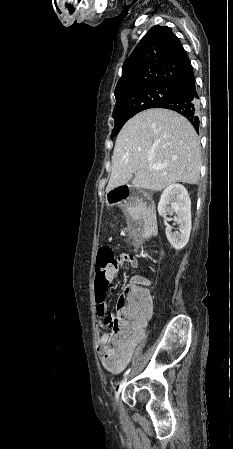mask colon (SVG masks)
<instances>
[{
	"label": "colon",
	"mask_w": 233,
	"mask_h": 449,
	"mask_svg": "<svg viewBox=\"0 0 233 449\" xmlns=\"http://www.w3.org/2000/svg\"><path fill=\"white\" fill-rule=\"evenodd\" d=\"M118 259L109 246H103L98 250L96 259L95 289L96 304L101 306L107 298L109 289V269L117 266ZM151 295L143 283L127 286L121 294L118 302L119 314L114 317L108 314L105 319L115 333H119V344H125L135 336L139 329L140 320L151 308ZM102 363L106 368L119 369L123 366L122 357L114 353V347L110 346L103 356Z\"/></svg>",
	"instance_id": "colon-1"
}]
</instances>
